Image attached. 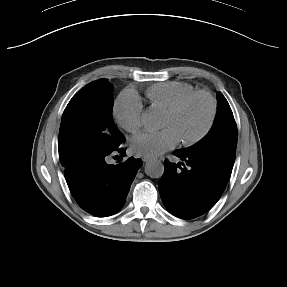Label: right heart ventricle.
Returning <instances> with one entry per match:
<instances>
[{
	"instance_id": "obj_1",
	"label": "right heart ventricle",
	"mask_w": 287,
	"mask_h": 287,
	"mask_svg": "<svg viewBox=\"0 0 287 287\" xmlns=\"http://www.w3.org/2000/svg\"><path fill=\"white\" fill-rule=\"evenodd\" d=\"M194 91V87L185 82L167 81L150 86L146 90L153 109L166 112L187 94Z\"/></svg>"
}]
</instances>
